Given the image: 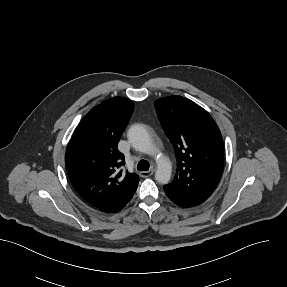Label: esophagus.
Instances as JSON below:
<instances>
[{
  "mask_svg": "<svg viewBox=\"0 0 287 287\" xmlns=\"http://www.w3.org/2000/svg\"><path fill=\"white\" fill-rule=\"evenodd\" d=\"M154 173V169H150L149 171H141L139 175L143 178L149 177Z\"/></svg>",
  "mask_w": 287,
  "mask_h": 287,
  "instance_id": "1",
  "label": "esophagus"
}]
</instances>
